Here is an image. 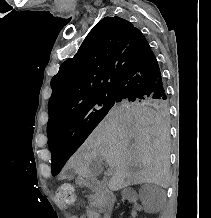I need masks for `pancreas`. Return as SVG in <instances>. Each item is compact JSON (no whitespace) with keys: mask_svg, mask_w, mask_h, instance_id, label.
<instances>
[{"mask_svg":"<svg viewBox=\"0 0 211 218\" xmlns=\"http://www.w3.org/2000/svg\"><path fill=\"white\" fill-rule=\"evenodd\" d=\"M93 194L98 195V201L96 200L95 196H90V206L112 204V199H108L107 190H94Z\"/></svg>","mask_w":211,"mask_h":218,"instance_id":"1","label":"pancreas"}]
</instances>
